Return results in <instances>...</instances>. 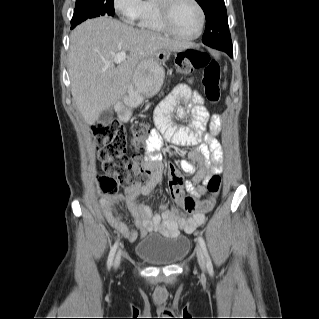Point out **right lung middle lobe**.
<instances>
[{
  "mask_svg": "<svg viewBox=\"0 0 319 319\" xmlns=\"http://www.w3.org/2000/svg\"><path fill=\"white\" fill-rule=\"evenodd\" d=\"M114 0H76L71 29L88 18L114 16Z\"/></svg>",
  "mask_w": 319,
  "mask_h": 319,
  "instance_id": "dd1d6c3e",
  "label": "right lung middle lobe"
}]
</instances>
